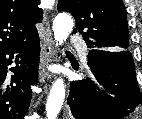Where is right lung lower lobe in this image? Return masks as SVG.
<instances>
[{
	"mask_svg": "<svg viewBox=\"0 0 142 119\" xmlns=\"http://www.w3.org/2000/svg\"><path fill=\"white\" fill-rule=\"evenodd\" d=\"M39 55L38 32L23 43L0 50V119H24L30 86L38 81ZM12 63L16 66L9 69Z\"/></svg>",
	"mask_w": 142,
	"mask_h": 119,
	"instance_id": "right-lung-lower-lobe-1",
	"label": "right lung lower lobe"
}]
</instances>
